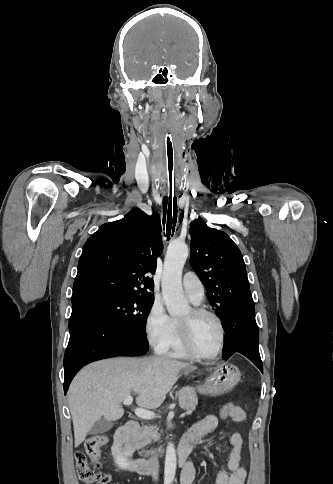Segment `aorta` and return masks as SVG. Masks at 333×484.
Segmentation results:
<instances>
[{"mask_svg":"<svg viewBox=\"0 0 333 484\" xmlns=\"http://www.w3.org/2000/svg\"><path fill=\"white\" fill-rule=\"evenodd\" d=\"M189 254L185 243H173L169 246L164 260L161 280L162 296L171 316L184 314L188 301L182 287V270ZM177 457L173 443H168L165 454L164 484H172L176 474Z\"/></svg>","mask_w":333,"mask_h":484,"instance_id":"1","label":"aorta"}]
</instances>
